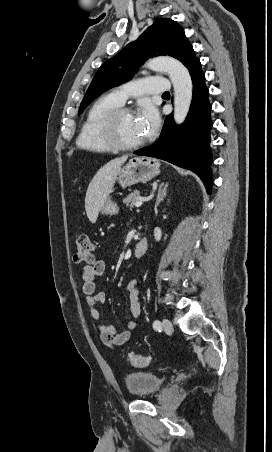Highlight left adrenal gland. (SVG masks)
Returning a JSON list of instances; mask_svg holds the SVG:
<instances>
[{
	"label": "left adrenal gland",
	"mask_w": 272,
	"mask_h": 452,
	"mask_svg": "<svg viewBox=\"0 0 272 452\" xmlns=\"http://www.w3.org/2000/svg\"><path fill=\"white\" fill-rule=\"evenodd\" d=\"M167 187H168V183L162 182L159 185L155 207H157L160 204V202L163 200V198L166 196Z\"/></svg>",
	"instance_id": "1"
}]
</instances>
